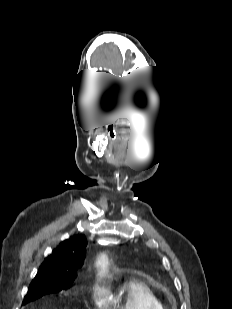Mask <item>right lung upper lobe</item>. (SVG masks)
Instances as JSON below:
<instances>
[{
    "mask_svg": "<svg viewBox=\"0 0 232 309\" xmlns=\"http://www.w3.org/2000/svg\"><path fill=\"white\" fill-rule=\"evenodd\" d=\"M87 240L83 235H74L61 242L40 266L34 279L74 281L77 270L84 262Z\"/></svg>",
    "mask_w": 232,
    "mask_h": 309,
    "instance_id": "1",
    "label": "right lung upper lobe"
}]
</instances>
